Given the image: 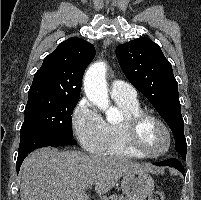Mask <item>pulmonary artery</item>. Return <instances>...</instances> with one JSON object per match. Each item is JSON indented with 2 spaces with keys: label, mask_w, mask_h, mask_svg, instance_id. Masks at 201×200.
Returning a JSON list of instances; mask_svg holds the SVG:
<instances>
[{
  "label": "pulmonary artery",
  "mask_w": 201,
  "mask_h": 200,
  "mask_svg": "<svg viewBox=\"0 0 201 200\" xmlns=\"http://www.w3.org/2000/svg\"><path fill=\"white\" fill-rule=\"evenodd\" d=\"M110 94L112 98L136 99V90L128 83L121 80H114L111 83Z\"/></svg>",
  "instance_id": "1"
}]
</instances>
